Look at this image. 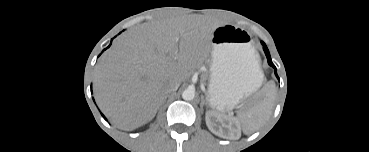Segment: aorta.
<instances>
[{"instance_id":"762f6f07","label":"aorta","mask_w":369,"mask_h":152,"mask_svg":"<svg viewBox=\"0 0 369 152\" xmlns=\"http://www.w3.org/2000/svg\"><path fill=\"white\" fill-rule=\"evenodd\" d=\"M195 97V90L193 88H187L182 92V98L186 101L193 100Z\"/></svg>"}]
</instances>
